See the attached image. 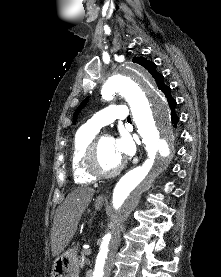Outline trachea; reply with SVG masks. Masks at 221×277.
Instances as JSON below:
<instances>
[{
  "label": "trachea",
  "instance_id": "1",
  "mask_svg": "<svg viewBox=\"0 0 221 277\" xmlns=\"http://www.w3.org/2000/svg\"><path fill=\"white\" fill-rule=\"evenodd\" d=\"M127 120H131L130 116H128Z\"/></svg>",
  "mask_w": 221,
  "mask_h": 277
}]
</instances>
